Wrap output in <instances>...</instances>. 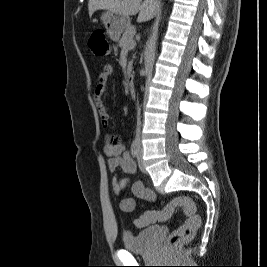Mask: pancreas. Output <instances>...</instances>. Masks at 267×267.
Returning a JSON list of instances; mask_svg holds the SVG:
<instances>
[{
  "label": "pancreas",
  "instance_id": "cf45deb5",
  "mask_svg": "<svg viewBox=\"0 0 267 267\" xmlns=\"http://www.w3.org/2000/svg\"><path fill=\"white\" fill-rule=\"evenodd\" d=\"M136 33V29L134 26L129 25L126 29L125 32L122 35V38L119 41V46L120 47H127L128 44L134 42L133 41V36Z\"/></svg>",
  "mask_w": 267,
  "mask_h": 267
}]
</instances>
